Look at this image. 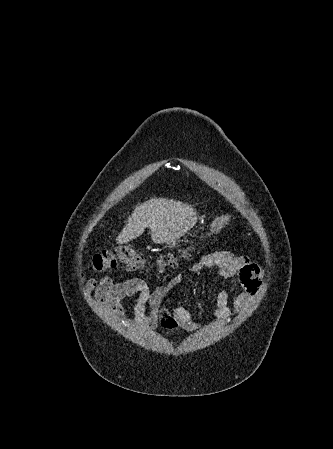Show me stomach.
I'll use <instances>...</instances> for the list:
<instances>
[{
    "label": "stomach",
    "instance_id": "0dacf381",
    "mask_svg": "<svg viewBox=\"0 0 333 449\" xmlns=\"http://www.w3.org/2000/svg\"><path fill=\"white\" fill-rule=\"evenodd\" d=\"M178 239H179V238H176V239L167 241V242H165V243H166V245H168V246H175V245L177 244V242H178Z\"/></svg>",
    "mask_w": 333,
    "mask_h": 449
}]
</instances>
